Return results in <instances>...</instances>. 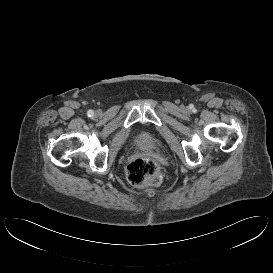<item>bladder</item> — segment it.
Returning a JSON list of instances; mask_svg holds the SVG:
<instances>
[{
  "label": "bladder",
  "mask_w": 273,
  "mask_h": 273,
  "mask_svg": "<svg viewBox=\"0 0 273 273\" xmlns=\"http://www.w3.org/2000/svg\"><path fill=\"white\" fill-rule=\"evenodd\" d=\"M136 141L141 146L152 147L155 144V139L146 134H139L136 136Z\"/></svg>",
  "instance_id": "obj_1"
}]
</instances>
